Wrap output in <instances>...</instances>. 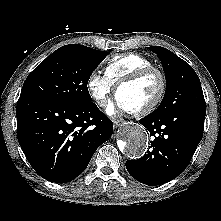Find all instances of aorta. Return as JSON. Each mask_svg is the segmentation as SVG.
I'll return each mask as SVG.
<instances>
[{
	"mask_svg": "<svg viewBox=\"0 0 221 221\" xmlns=\"http://www.w3.org/2000/svg\"><path fill=\"white\" fill-rule=\"evenodd\" d=\"M149 137L139 125H128L124 128V141L120 150L129 158L143 156L148 147Z\"/></svg>",
	"mask_w": 221,
	"mask_h": 221,
	"instance_id": "762f6f07",
	"label": "aorta"
}]
</instances>
